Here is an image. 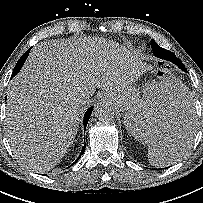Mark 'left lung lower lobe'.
<instances>
[{"label": "left lung lower lobe", "mask_w": 203, "mask_h": 203, "mask_svg": "<svg viewBox=\"0 0 203 203\" xmlns=\"http://www.w3.org/2000/svg\"><path fill=\"white\" fill-rule=\"evenodd\" d=\"M153 53H154L155 56H157V57H159L161 59L168 60V61L176 64L182 70H186L185 67L183 66V64L180 62V60L177 59L175 54H173L172 52H170V51H168V50H166V49L159 46V47H157V49L153 50ZM185 136H182V137H185ZM182 137L179 138V140H182Z\"/></svg>", "instance_id": "left-lung-lower-lobe-1"}]
</instances>
